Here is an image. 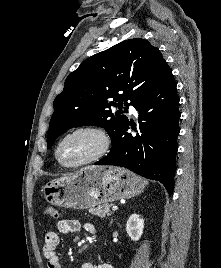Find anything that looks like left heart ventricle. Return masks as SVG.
Instances as JSON below:
<instances>
[{
    "mask_svg": "<svg viewBox=\"0 0 221 268\" xmlns=\"http://www.w3.org/2000/svg\"><path fill=\"white\" fill-rule=\"evenodd\" d=\"M98 138L91 133H79L62 145L59 156L67 164L76 163L91 155L98 147Z\"/></svg>",
    "mask_w": 221,
    "mask_h": 268,
    "instance_id": "b2bd125f",
    "label": "left heart ventricle"
}]
</instances>
